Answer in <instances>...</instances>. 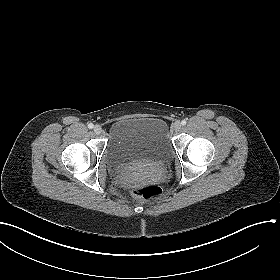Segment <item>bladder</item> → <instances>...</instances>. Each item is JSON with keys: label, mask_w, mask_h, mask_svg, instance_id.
I'll return each instance as SVG.
<instances>
[{"label": "bladder", "mask_w": 280, "mask_h": 280, "mask_svg": "<svg viewBox=\"0 0 280 280\" xmlns=\"http://www.w3.org/2000/svg\"><path fill=\"white\" fill-rule=\"evenodd\" d=\"M171 151L166 122L161 118L137 117L111 124L105 157L110 166L122 167L141 160L164 162Z\"/></svg>", "instance_id": "1"}]
</instances>
